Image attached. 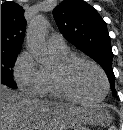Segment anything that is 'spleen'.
<instances>
[{"label": "spleen", "instance_id": "3e777b00", "mask_svg": "<svg viewBox=\"0 0 123 130\" xmlns=\"http://www.w3.org/2000/svg\"><path fill=\"white\" fill-rule=\"evenodd\" d=\"M110 130H116V128H115L114 126H112V127L110 128Z\"/></svg>", "mask_w": 123, "mask_h": 130}]
</instances>
